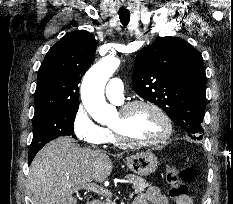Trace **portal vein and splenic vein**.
Returning a JSON list of instances; mask_svg holds the SVG:
<instances>
[{"instance_id":"1","label":"portal vein and splenic vein","mask_w":233,"mask_h":204,"mask_svg":"<svg viewBox=\"0 0 233 204\" xmlns=\"http://www.w3.org/2000/svg\"><path fill=\"white\" fill-rule=\"evenodd\" d=\"M78 189H85L88 191H92L96 194L99 195H103V196H108L110 197L112 194L109 190L104 189L103 187H100L99 185L95 184V183H90V184H86L83 185L81 187H78L77 189H74V191H77ZM133 196V194L130 195V197Z\"/></svg>"}]
</instances>
